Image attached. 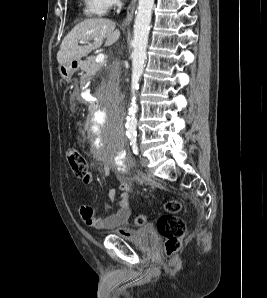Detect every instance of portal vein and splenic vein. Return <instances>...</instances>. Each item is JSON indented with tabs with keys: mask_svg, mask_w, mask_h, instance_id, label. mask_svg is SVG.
I'll list each match as a JSON object with an SVG mask.
<instances>
[{
	"mask_svg": "<svg viewBox=\"0 0 267 298\" xmlns=\"http://www.w3.org/2000/svg\"><path fill=\"white\" fill-rule=\"evenodd\" d=\"M80 43H81V44H84L85 41H82V40H81ZM104 59H105V55L101 53V54H98V55H97L95 61H96V63H101V62L104 61Z\"/></svg>",
	"mask_w": 267,
	"mask_h": 298,
	"instance_id": "18ae733b",
	"label": "portal vein and splenic vein"
}]
</instances>
